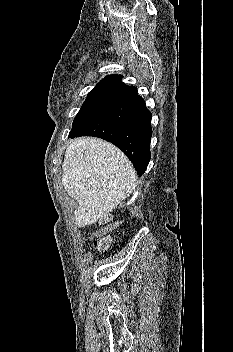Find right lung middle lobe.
<instances>
[{
  "instance_id": "obj_1",
  "label": "right lung middle lobe",
  "mask_w": 233,
  "mask_h": 352,
  "mask_svg": "<svg viewBox=\"0 0 233 352\" xmlns=\"http://www.w3.org/2000/svg\"><path fill=\"white\" fill-rule=\"evenodd\" d=\"M137 90L126 87H95L74 119L73 133L112 106L134 96Z\"/></svg>"
}]
</instances>
